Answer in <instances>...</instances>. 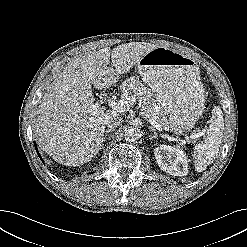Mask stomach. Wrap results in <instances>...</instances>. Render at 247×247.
<instances>
[{
    "label": "stomach",
    "instance_id": "stomach-1",
    "mask_svg": "<svg viewBox=\"0 0 247 247\" xmlns=\"http://www.w3.org/2000/svg\"><path fill=\"white\" fill-rule=\"evenodd\" d=\"M143 81L155 93L156 101L174 133L190 131L204 110L205 96L194 59L167 47H156L137 63Z\"/></svg>",
    "mask_w": 247,
    "mask_h": 247
}]
</instances>
